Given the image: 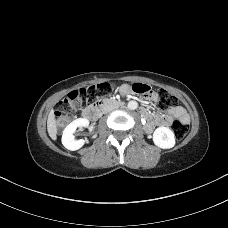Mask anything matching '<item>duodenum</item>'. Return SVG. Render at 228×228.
<instances>
[{"instance_id":"1","label":"duodenum","mask_w":228,"mask_h":228,"mask_svg":"<svg viewBox=\"0 0 228 228\" xmlns=\"http://www.w3.org/2000/svg\"><path fill=\"white\" fill-rule=\"evenodd\" d=\"M121 105H122V102L118 99H113V98L102 99L96 104L87 107L82 112V117L90 121H95L100 117L102 110L104 108L108 106H121ZM145 119H146L145 127L150 130H152L159 123V120L157 117L146 115Z\"/></svg>"}]
</instances>
